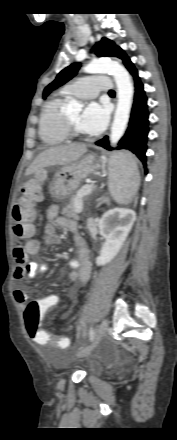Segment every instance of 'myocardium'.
<instances>
[{
  "instance_id": "1",
  "label": "myocardium",
  "mask_w": 177,
  "mask_h": 440,
  "mask_svg": "<svg viewBox=\"0 0 177 440\" xmlns=\"http://www.w3.org/2000/svg\"><path fill=\"white\" fill-rule=\"evenodd\" d=\"M63 123H64V128L67 134V138H78L81 137L82 134L80 133V131H78L75 126L73 125V123L70 121V119L68 118L67 114H63Z\"/></svg>"
}]
</instances>
